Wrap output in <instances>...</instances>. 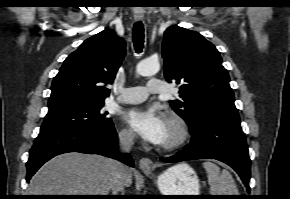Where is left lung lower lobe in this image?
Masks as SVG:
<instances>
[{"label":"left lung lower lobe","instance_id":"0a47b994","mask_svg":"<svg viewBox=\"0 0 290 199\" xmlns=\"http://www.w3.org/2000/svg\"><path fill=\"white\" fill-rule=\"evenodd\" d=\"M192 140L187 148L162 162H181L196 159H216L228 164L240 176L250 191V165L248 148L240 123L202 118L189 124Z\"/></svg>","mask_w":290,"mask_h":199}]
</instances>
